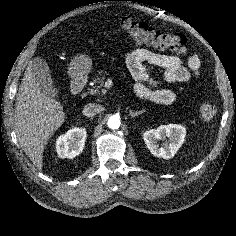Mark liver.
Segmentation results:
<instances>
[{
    "label": "liver",
    "instance_id": "obj_1",
    "mask_svg": "<svg viewBox=\"0 0 236 236\" xmlns=\"http://www.w3.org/2000/svg\"><path fill=\"white\" fill-rule=\"evenodd\" d=\"M15 131L19 145L38 170L48 139L64 123L60 102L43 93L32 73L30 62L19 87L15 104Z\"/></svg>",
    "mask_w": 236,
    "mask_h": 236
}]
</instances>
